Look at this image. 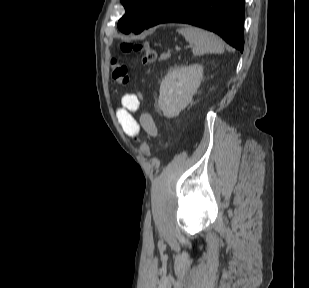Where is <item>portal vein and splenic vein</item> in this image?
I'll return each instance as SVG.
<instances>
[{"label": "portal vein and splenic vein", "instance_id": "1", "mask_svg": "<svg viewBox=\"0 0 309 288\" xmlns=\"http://www.w3.org/2000/svg\"><path fill=\"white\" fill-rule=\"evenodd\" d=\"M175 50H176V51H180L181 48L177 46V47L175 48Z\"/></svg>", "mask_w": 309, "mask_h": 288}]
</instances>
